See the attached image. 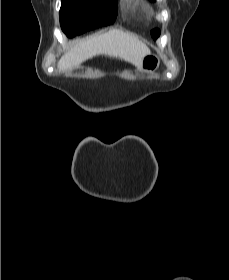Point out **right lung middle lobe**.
<instances>
[{"mask_svg":"<svg viewBox=\"0 0 229 280\" xmlns=\"http://www.w3.org/2000/svg\"><path fill=\"white\" fill-rule=\"evenodd\" d=\"M61 1L60 24L68 37L110 25L117 15V0Z\"/></svg>","mask_w":229,"mask_h":280,"instance_id":"obj_1","label":"right lung middle lobe"}]
</instances>
